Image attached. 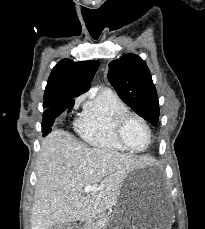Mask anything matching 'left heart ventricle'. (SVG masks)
<instances>
[{
    "instance_id": "obj_1",
    "label": "left heart ventricle",
    "mask_w": 205,
    "mask_h": 229,
    "mask_svg": "<svg viewBox=\"0 0 205 229\" xmlns=\"http://www.w3.org/2000/svg\"><path fill=\"white\" fill-rule=\"evenodd\" d=\"M124 136L128 144L135 149L144 148L148 142L145 127L135 119L130 120L126 125Z\"/></svg>"
}]
</instances>
